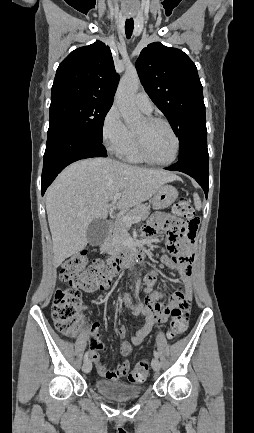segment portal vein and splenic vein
I'll use <instances>...</instances> for the list:
<instances>
[{
    "mask_svg": "<svg viewBox=\"0 0 254 433\" xmlns=\"http://www.w3.org/2000/svg\"><path fill=\"white\" fill-rule=\"evenodd\" d=\"M121 198V193L116 194L113 198L112 201L115 202L118 199ZM121 220L126 223L127 225H130L132 223H136L140 221V217L139 216H127V215H123L120 217Z\"/></svg>",
    "mask_w": 254,
    "mask_h": 433,
    "instance_id": "portal-vein-and-splenic-vein-1",
    "label": "portal vein and splenic vein"
}]
</instances>
